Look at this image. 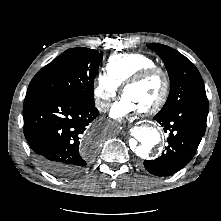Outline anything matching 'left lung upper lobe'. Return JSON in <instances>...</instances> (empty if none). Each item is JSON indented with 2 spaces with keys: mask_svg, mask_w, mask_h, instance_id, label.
<instances>
[{
  "mask_svg": "<svg viewBox=\"0 0 221 221\" xmlns=\"http://www.w3.org/2000/svg\"><path fill=\"white\" fill-rule=\"evenodd\" d=\"M147 47L161 57L171 83L169 97L160 113L175 110L189 103L208 106L202 77L189 59L166 45L152 43Z\"/></svg>",
  "mask_w": 221,
  "mask_h": 221,
  "instance_id": "obj_1",
  "label": "left lung upper lobe"
}]
</instances>
